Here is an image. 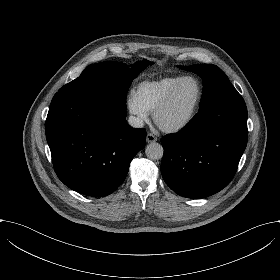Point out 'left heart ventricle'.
Masks as SVG:
<instances>
[{
  "mask_svg": "<svg viewBox=\"0 0 280 280\" xmlns=\"http://www.w3.org/2000/svg\"><path fill=\"white\" fill-rule=\"evenodd\" d=\"M199 94L200 87L196 80L185 81L174 96L171 106L163 114L162 121L168 124L187 117L195 108Z\"/></svg>",
  "mask_w": 280,
  "mask_h": 280,
  "instance_id": "left-heart-ventricle-1",
  "label": "left heart ventricle"
}]
</instances>
